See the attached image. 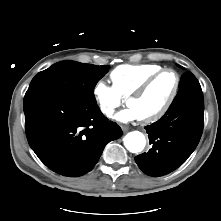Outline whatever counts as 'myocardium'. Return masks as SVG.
<instances>
[{
	"instance_id": "myocardium-1",
	"label": "myocardium",
	"mask_w": 221,
	"mask_h": 221,
	"mask_svg": "<svg viewBox=\"0 0 221 221\" xmlns=\"http://www.w3.org/2000/svg\"><path fill=\"white\" fill-rule=\"evenodd\" d=\"M166 72H171L175 77V84H174V88L172 90V93H171L169 99L167 100V102L165 103V105L159 111H157L156 113H154L153 115H151L149 117L140 119L141 122H143L145 124H151V123H154V122L160 120L168 113V111L172 107V105L175 102L176 97L178 95L179 89H180L181 80H180V76H179L178 72L173 68H162L159 71L152 74L151 76H149L137 89H135L130 95H128L127 101L131 98L140 97V96L144 95L146 93V91L149 89V87L152 85V83L160 75H162Z\"/></svg>"
}]
</instances>
